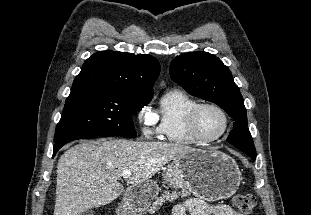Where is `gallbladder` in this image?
Masks as SVG:
<instances>
[{"label":"gallbladder","instance_id":"obj_1","mask_svg":"<svg viewBox=\"0 0 311 215\" xmlns=\"http://www.w3.org/2000/svg\"><path fill=\"white\" fill-rule=\"evenodd\" d=\"M80 215H94V211L89 209V210L82 212Z\"/></svg>","mask_w":311,"mask_h":215}]
</instances>
